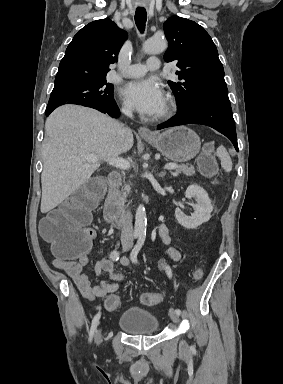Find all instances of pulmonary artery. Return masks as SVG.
I'll return each mask as SVG.
<instances>
[{"mask_svg":"<svg viewBox=\"0 0 283 384\" xmlns=\"http://www.w3.org/2000/svg\"><path fill=\"white\" fill-rule=\"evenodd\" d=\"M145 66L142 64L131 65L122 71V75L126 78H136L143 76L147 71L159 70L157 61H146Z\"/></svg>","mask_w":283,"mask_h":384,"instance_id":"e3ab8cb5","label":"pulmonary artery"}]
</instances>
